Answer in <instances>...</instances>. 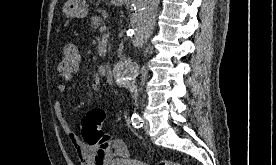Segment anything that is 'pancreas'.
<instances>
[{
  "label": "pancreas",
  "instance_id": "cf45deb5",
  "mask_svg": "<svg viewBox=\"0 0 276 165\" xmlns=\"http://www.w3.org/2000/svg\"><path fill=\"white\" fill-rule=\"evenodd\" d=\"M103 24L102 18L100 16H93L91 17V28L97 29L99 26Z\"/></svg>",
  "mask_w": 276,
  "mask_h": 165
}]
</instances>
